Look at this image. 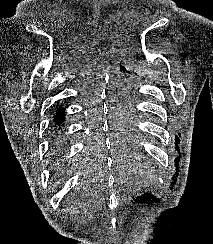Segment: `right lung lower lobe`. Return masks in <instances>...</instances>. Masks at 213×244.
Returning a JSON list of instances; mask_svg holds the SVG:
<instances>
[{"mask_svg":"<svg viewBox=\"0 0 213 244\" xmlns=\"http://www.w3.org/2000/svg\"><path fill=\"white\" fill-rule=\"evenodd\" d=\"M65 115V109L62 107V105H59V103H57L56 112L54 114V127L57 130L56 132H60L61 126H63L65 121Z\"/></svg>","mask_w":213,"mask_h":244,"instance_id":"right-lung-lower-lobe-1","label":"right lung lower lobe"}]
</instances>
